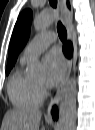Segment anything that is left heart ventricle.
I'll return each mask as SVG.
<instances>
[{
    "label": "left heart ventricle",
    "mask_w": 95,
    "mask_h": 130,
    "mask_svg": "<svg viewBox=\"0 0 95 130\" xmlns=\"http://www.w3.org/2000/svg\"><path fill=\"white\" fill-rule=\"evenodd\" d=\"M36 81H37L38 83H42L43 78H39V79H37Z\"/></svg>",
    "instance_id": "b2bd125f"
}]
</instances>
